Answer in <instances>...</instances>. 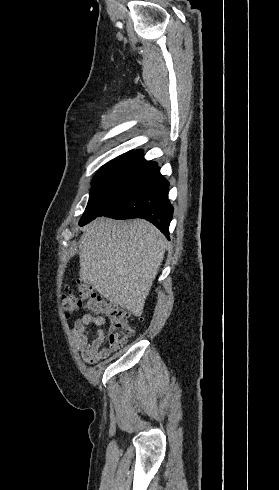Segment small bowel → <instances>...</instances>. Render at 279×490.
Returning a JSON list of instances; mask_svg holds the SVG:
<instances>
[{"mask_svg": "<svg viewBox=\"0 0 279 490\" xmlns=\"http://www.w3.org/2000/svg\"><path fill=\"white\" fill-rule=\"evenodd\" d=\"M107 323V320L99 315L85 314L80 319L76 320L72 329V339L76 348L80 351L81 356L87 363H97L108 358L111 350L103 347L106 338V333L102 328ZM95 325L99 329L96 336L90 339L88 326Z\"/></svg>", "mask_w": 279, "mask_h": 490, "instance_id": "c3829d8e", "label": "small bowel"}]
</instances>
